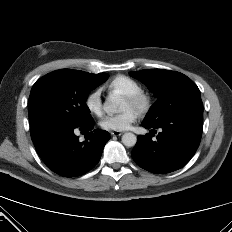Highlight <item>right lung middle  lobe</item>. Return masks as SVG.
<instances>
[{
  "instance_id": "obj_1",
  "label": "right lung middle lobe",
  "mask_w": 232,
  "mask_h": 232,
  "mask_svg": "<svg viewBox=\"0 0 232 232\" xmlns=\"http://www.w3.org/2000/svg\"><path fill=\"white\" fill-rule=\"evenodd\" d=\"M107 79L105 73L79 70H57L43 76L31 89L30 126L81 127L93 122L85 102L90 91Z\"/></svg>"
}]
</instances>
